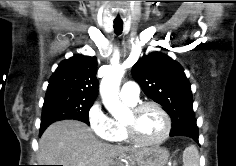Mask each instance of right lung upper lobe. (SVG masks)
<instances>
[{"label":"right lung upper lobe","instance_id":"cb5924a9","mask_svg":"<svg viewBox=\"0 0 236 166\" xmlns=\"http://www.w3.org/2000/svg\"><path fill=\"white\" fill-rule=\"evenodd\" d=\"M97 59L81 54L62 61L50 78L46 97L68 96L95 100L98 95Z\"/></svg>","mask_w":236,"mask_h":166}]
</instances>
